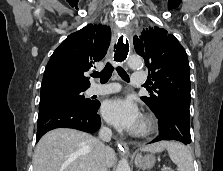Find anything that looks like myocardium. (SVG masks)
I'll return each instance as SVG.
<instances>
[{
	"instance_id": "1",
	"label": "myocardium",
	"mask_w": 223,
	"mask_h": 171,
	"mask_svg": "<svg viewBox=\"0 0 223 171\" xmlns=\"http://www.w3.org/2000/svg\"><path fill=\"white\" fill-rule=\"evenodd\" d=\"M156 127L154 119L150 116H144L141 119L140 125L135 132V135L138 137H145L151 134Z\"/></svg>"
}]
</instances>
